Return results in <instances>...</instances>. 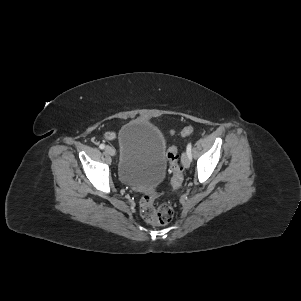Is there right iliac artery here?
Segmentation results:
<instances>
[{"mask_svg": "<svg viewBox=\"0 0 301 301\" xmlns=\"http://www.w3.org/2000/svg\"><path fill=\"white\" fill-rule=\"evenodd\" d=\"M99 148H100V149H104V148H105V145H104V144H100V145H99Z\"/></svg>", "mask_w": 301, "mask_h": 301, "instance_id": "82829eb1", "label": "right iliac artery"}]
</instances>
